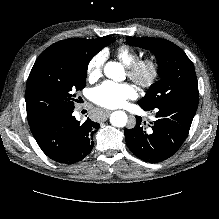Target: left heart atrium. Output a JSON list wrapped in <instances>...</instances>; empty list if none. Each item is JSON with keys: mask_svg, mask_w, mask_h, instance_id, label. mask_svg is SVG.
Returning <instances> with one entry per match:
<instances>
[{"mask_svg": "<svg viewBox=\"0 0 219 219\" xmlns=\"http://www.w3.org/2000/svg\"><path fill=\"white\" fill-rule=\"evenodd\" d=\"M135 96L134 87L128 83L106 81L93 90L94 102L103 108L122 107L129 99H133Z\"/></svg>", "mask_w": 219, "mask_h": 219, "instance_id": "obj_1", "label": "left heart atrium"}]
</instances>
